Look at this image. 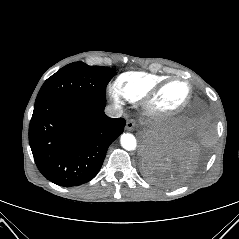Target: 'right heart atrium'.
I'll list each match as a JSON object with an SVG mask.
<instances>
[{"label":"right heart atrium","instance_id":"d8ad5b80","mask_svg":"<svg viewBox=\"0 0 239 239\" xmlns=\"http://www.w3.org/2000/svg\"><path fill=\"white\" fill-rule=\"evenodd\" d=\"M109 94L112 100L117 104V105H122L124 103V96L120 92V90L117 88L116 85H112L109 88Z\"/></svg>","mask_w":239,"mask_h":239}]
</instances>
